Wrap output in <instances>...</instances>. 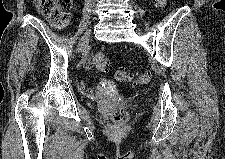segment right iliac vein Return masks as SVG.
I'll use <instances>...</instances> for the list:
<instances>
[{"label":"right iliac vein","mask_w":225,"mask_h":159,"mask_svg":"<svg viewBox=\"0 0 225 159\" xmlns=\"http://www.w3.org/2000/svg\"><path fill=\"white\" fill-rule=\"evenodd\" d=\"M90 37V31H87L85 35L82 37L81 42L79 44V49L83 50L85 46L87 45Z\"/></svg>","instance_id":"obj_1"}]
</instances>
